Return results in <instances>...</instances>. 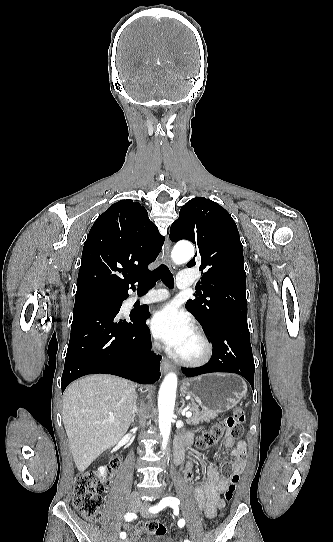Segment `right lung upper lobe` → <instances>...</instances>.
Segmentation results:
<instances>
[{
  "label": "right lung upper lobe",
  "instance_id": "obj_1",
  "mask_svg": "<svg viewBox=\"0 0 333 542\" xmlns=\"http://www.w3.org/2000/svg\"><path fill=\"white\" fill-rule=\"evenodd\" d=\"M164 242L158 228L140 203L121 200L108 208L93 224L82 254L102 248L112 253L111 261L101 266L82 262L77 292L127 291L140 277L150 274Z\"/></svg>",
  "mask_w": 333,
  "mask_h": 542
}]
</instances>
